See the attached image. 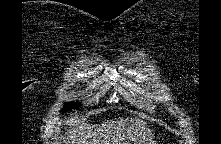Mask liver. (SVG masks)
I'll return each instance as SVG.
<instances>
[{
  "instance_id": "liver-1",
  "label": "liver",
  "mask_w": 221,
  "mask_h": 144,
  "mask_svg": "<svg viewBox=\"0 0 221 144\" xmlns=\"http://www.w3.org/2000/svg\"><path fill=\"white\" fill-rule=\"evenodd\" d=\"M154 137L147 123L140 119H113L100 125L70 127L66 144H145Z\"/></svg>"
}]
</instances>
